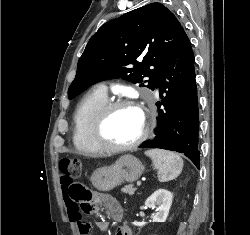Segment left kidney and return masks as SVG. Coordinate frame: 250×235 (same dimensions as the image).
I'll use <instances>...</instances> for the list:
<instances>
[{"instance_id": "obj_1", "label": "left kidney", "mask_w": 250, "mask_h": 235, "mask_svg": "<svg viewBox=\"0 0 250 235\" xmlns=\"http://www.w3.org/2000/svg\"><path fill=\"white\" fill-rule=\"evenodd\" d=\"M173 194L165 189L156 190L147 200L145 201V205L151 209H155V213L153 215V222H165L169 210L172 205ZM135 226H143L144 223L134 222Z\"/></svg>"}]
</instances>
